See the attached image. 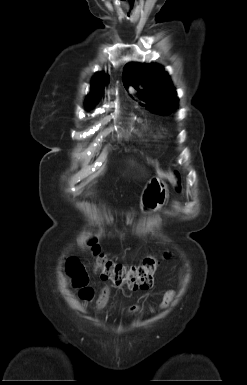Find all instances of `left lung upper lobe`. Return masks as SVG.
Wrapping results in <instances>:
<instances>
[{"label": "left lung upper lobe", "mask_w": 247, "mask_h": 385, "mask_svg": "<svg viewBox=\"0 0 247 385\" xmlns=\"http://www.w3.org/2000/svg\"><path fill=\"white\" fill-rule=\"evenodd\" d=\"M123 83L126 88L143 83L145 89L139 90V97L147 103V109L156 114L169 115L178 107L176 91L160 65L127 64L123 70Z\"/></svg>", "instance_id": "1"}]
</instances>
